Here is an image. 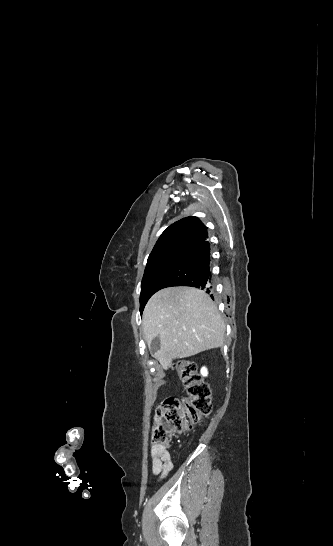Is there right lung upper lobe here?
<instances>
[{
  "label": "right lung upper lobe",
  "mask_w": 333,
  "mask_h": 546,
  "mask_svg": "<svg viewBox=\"0 0 333 546\" xmlns=\"http://www.w3.org/2000/svg\"><path fill=\"white\" fill-rule=\"evenodd\" d=\"M207 239V227L197 217H186L162 233L150 255L174 248L189 250Z\"/></svg>",
  "instance_id": "cb5924a9"
}]
</instances>
